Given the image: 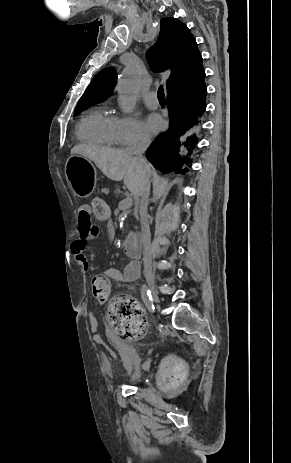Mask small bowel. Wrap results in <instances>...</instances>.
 Returning a JSON list of instances; mask_svg holds the SVG:
<instances>
[{
	"label": "small bowel",
	"instance_id": "1",
	"mask_svg": "<svg viewBox=\"0 0 291 463\" xmlns=\"http://www.w3.org/2000/svg\"><path fill=\"white\" fill-rule=\"evenodd\" d=\"M107 232L109 237H116V229L112 223L108 224ZM98 237V227L91 220V208L89 206H81L78 214L77 237L71 243V253L76 261L85 269L88 270V261L85 255V250L90 241ZM105 276L122 282H133L139 277L138 262H131L123 270L109 268L104 272ZM93 333L98 331L95 323L90 322Z\"/></svg>",
	"mask_w": 291,
	"mask_h": 463
}]
</instances>
